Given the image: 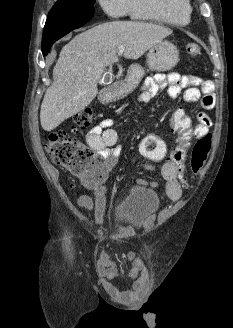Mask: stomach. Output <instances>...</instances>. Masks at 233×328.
Instances as JSON below:
<instances>
[{
    "label": "stomach",
    "instance_id": "stomach-1",
    "mask_svg": "<svg viewBox=\"0 0 233 328\" xmlns=\"http://www.w3.org/2000/svg\"><path fill=\"white\" fill-rule=\"evenodd\" d=\"M179 61L177 47L169 41H161L149 49L147 54L148 66L158 72L168 71ZM144 76V69L139 64H132L128 69L126 81L116 89L111 99H120L131 93Z\"/></svg>",
    "mask_w": 233,
    "mask_h": 328
}]
</instances>
